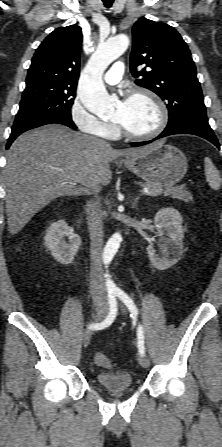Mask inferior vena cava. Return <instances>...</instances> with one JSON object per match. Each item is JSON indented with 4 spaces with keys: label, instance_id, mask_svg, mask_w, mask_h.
I'll use <instances>...</instances> for the list:
<instances>
[{
    "label": "inferior vena cava",
    "instance_id": "1",
    "mask_svg": "<svg viewBox=\"0 0 222 447\" xmlns=\"http://www.w3.org/2000/svg\"><path fill=\"white\" fill-rule=\"evenodd\" d=\"M107 146H110L104 141ZM99 186L92 191L98 192ZM90 214L88 217V229L91 239V268H90V288L94 297L105 298V289L103 282V221L98 213V202L91 200L89 202Z\"/></svg>",
    "mask_w": 222,
    "mask_h": 447
}]
</instances>
